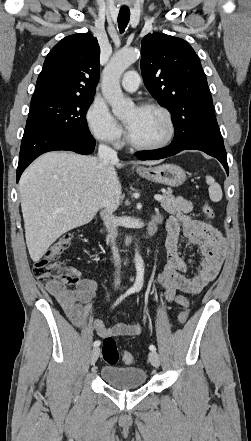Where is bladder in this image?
Returning a JSON list of instances; mask_svg holds the SVG:
<instances>
[{"instance_id": "obj_1", "label": "bladder", "mask_w": 251, "mask_h": 441, "mask_svg": "<svg viewBox=\"0 0 251 441\" xmlns=\"http://www.w3.org/2000/svg\"><path fill=\"white\" fill-rule=\"evenodd\" d=\"M100 376L108 385L119 389L140 387L147 381V374L141 368L110 364L101 368Z\"/></svg>"}]
</instances>
